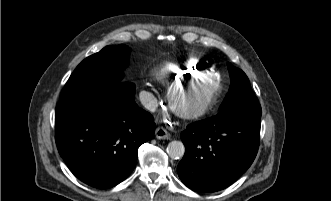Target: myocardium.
Here are the masks:
<instances>
[{
    "label": "myocardium",
    "mask_w": 331,
    "mask_h": 201,
    "mask_svg": "<svg viewBox=\"0 0 331 201\" xmlns=\"http://www.w3.org/2000/svg\"><path fill=\"white\" fill-rule=\"evenodd\" d=\"M188 79L183 82H176L168 87L167 90V101L171 110L179 117L183 119H195L205 113H207L216 103L222 92L221 83L216 81L210 74L207 75H196L187 77ZM192 83H204L210 85L208 94L195 106L184 108L179 106L174 99L175 92Z\"/></svg>",
    "instance_id": "1"
}]
</instances>
